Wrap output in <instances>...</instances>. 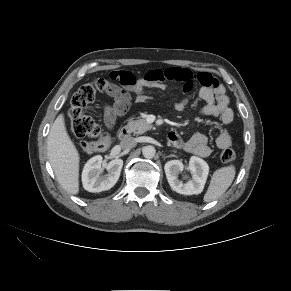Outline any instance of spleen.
<instances>
[{"mask_svg":"<svg viewBox=\"0 0 291 291\" xmlns=\"http://www.w3.org/2000/svg\"><path fill=\"white\" fill-rule=\"evenodd\" d=\"M236 170L234 165L217 169L212 177L204 195V202H211L222 196L232 184L235 178Z\"/></svg>","mask_w":291,"mask_h":291,"instance_id":"3e777b00","label":"spleen"}]
</instances>
